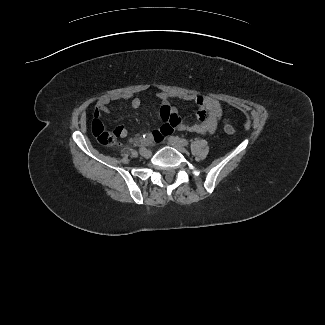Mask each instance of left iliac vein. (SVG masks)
Here are the masks:
<instances>
[{
	"mask_svg": "<svg viewBox=\"0 0 325 325\" xmlns=\"http://www.w3.org/2000/svg\"><path fill=\"white\" fill-rule=\"evenodd\" d=\"M168 144H169L170 146L176 148V149H177L178 151H180V152H185V151H186V149H185V147H184L183 145H181V144L175 142L172 138H169V139H168Z\"/></svg>",
	"mask_w": 325,
	"mask_h": 325,
	"instance_id": "left-iliac-vein-1",
	"label": "left iliac vein"
}]
</instances>
